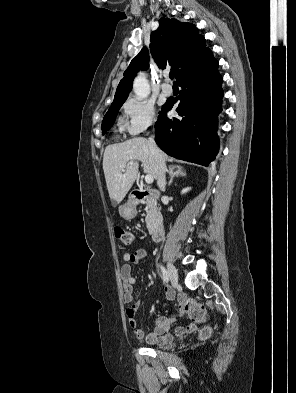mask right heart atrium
<instances>
[{"label":"right heart atrium","instance_id":"obj_1","mask_svg":"<svg viewBox=\"0 0 296 393\" xmlns=\"http://www.w3.org/2000/svg\"><path fill=\"white\" fill-rule=\"evenodd\" d=\"M126 130L131 135H137L153 125L156 119L154 105L146 99L128 98L124 105Z\"/></svg>","mask_w":296,"mask_h":393}]
</instances>
